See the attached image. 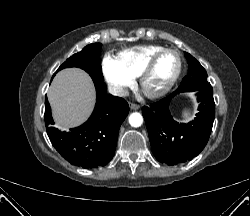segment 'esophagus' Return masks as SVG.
Instances as JSON below:
<instances>
[{
	"label": "esophagus",
	"mask_w": 250,
	"mask_h": 216,
	"mask_svg": "<svg viewBox=\"0 0 250 216\" xmlns=\"http://www.w3.org/2000/svg\"><path fill=\"white\" fill-rule=\"evenodd\" d=\"M130 109L132 110H138L140 108V106L138 104L135 103H129Z\"/></svg>",
	"instance_id": "esophagus-1"
}]
</instances>
